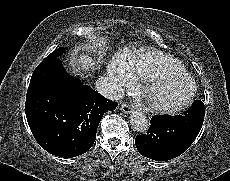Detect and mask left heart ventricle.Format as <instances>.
Here are the masks:
<instances>
[{
  "label": "left heart ventricle",
  "instance_id": "obj_1",
  "mask_svg": "<svg viewBox=\"0 0 230 181\" xmlns=\"http://www.w3.org/2000/svg\"><path fill=\"white\" fill-rule=\"evenodd\" d=\"M189 89L190 84L186 79H167L154 88L152 98L162 104H175L185 97Z\"/></svg>",
  "mask_w": 230,
  "mask_h": 181
}]
</instances>
